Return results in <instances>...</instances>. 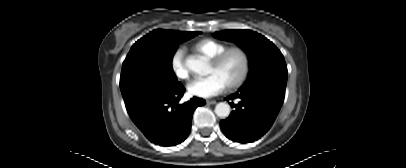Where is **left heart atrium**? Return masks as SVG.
Listing matches in <instances>:
<instances>
[{
  "label": "left heart atrium",
  "mask_w": 406,
  "mask_h": 168,
  "mask_svg": "<svg viewBox=\"0 0 406 168\" xmlns=\"http://www.w3.org/2000/svg\"><path fill=\"white\" fill-rule=\"evenodd\" d=\"M225 89L223 82L214 74L192 80L187 85L188 93L195 97L209 98Z\"/></svg>",
  "instance_id": "39dd6f15"
}]
</instances>
